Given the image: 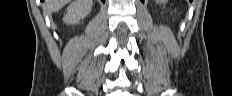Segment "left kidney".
Listing matches in <instances>:
<instances>
[{"instance_id":"obj_1","label":"left kidney","mask_w":232,"mask_h":96,"mask_svg":"<svg viewBox=\"0 0 232 96\" xmlns=\"http://www.w3.org/2000/svg\"><path fill=\"white\" fill-rule=\"evenodd\" d=\"M156 2H158V3H159V2H160V3H162V2H165V1H163V0H157Z\"/></svg>"}]
</instances>
